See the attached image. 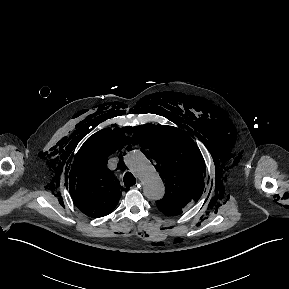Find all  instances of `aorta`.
<instances>
[{
    "mask_svg": "<svg viewBox=\"0 0 289 289\" xmlns=\"http://www.w3.org/2000/svg\"><path fill=\"white\" fill-rule=\"evenodd\" d=\"M124 162L141 180L145 197L150 200L163 198L165 186L153 165L141 151H129L124 157Z\"/></svg>",
    "mask_w": 289,
    "mask_h": 289,
    "instance_id": "obj_1",
    "label": "aorta"
}]
</instances>
